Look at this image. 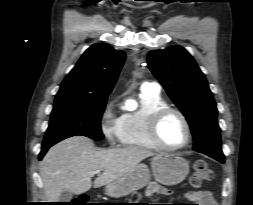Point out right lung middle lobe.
I'll return each instance as SVG.
<instances>
[{
  "mask_svg": "<svg viewBox=\"0 0 253 205\" xmlns=\"http://www.w3.org/2000/svg\"><path fill=\"white\" fill-rule=\"evenodd\" d=\"M106 100L55 102L42 146H52L75 135H83L96 140L103 139L100 120Z\"/></svg>",
  "mask_w": 253,
  "mask_h": 205,
  "instance_id": "obj_1",
  "label": "right lung middle lobe"
}]
</instances>
